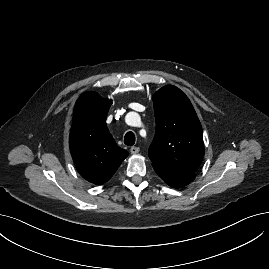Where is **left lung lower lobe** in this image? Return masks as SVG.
<instances>
[{"label": "left lung lower lobe", "mask_w": 269, "mask_h": 269, "mask_svg": "<svg viewBox=\"0 0 269 269\" xmlns=\"http://www.w3.org/2000/svg\"><path fill=\"white\" fill-rule=\"evenodd\" d=\"M157 175L169 186L180 188L191 183L195 178V173L171 171L153 166Z\"/></svg>", "instance_id": "left-lung-lower-lobe-1"}]
</instances>
